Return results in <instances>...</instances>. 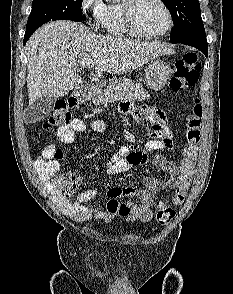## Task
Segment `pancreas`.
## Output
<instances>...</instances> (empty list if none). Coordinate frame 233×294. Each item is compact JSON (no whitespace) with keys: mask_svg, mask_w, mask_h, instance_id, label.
Segmentation results:
<instances>
[{"mask_svg":"<svg viewBox=\"0 0 233 294\" xmlns=\"http://www.w3.org/2000/svg\"><path fill=\"white\" fill-rule=\"evenodd\" d=\"M149 98V94L142 85L134 81H113L100 89L93 97L95 105L107 104L120 99L142 101Z\"/></svg>","mask_w":233,"mask_h":294,"instance_id":"obj_1","label":"pancreas"}]
</instances>
